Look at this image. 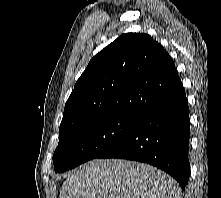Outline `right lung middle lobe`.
Returning a JSON list of instances; mask_svg holds the SVG:
<instances>
[{
    "mask_svg": "<svg viewBox=\"0 0 221 198\" xmlns=\"http://www.w3.org/2000/svg\"><path fill=\"white\" fill-rule=\"evenodd\" d=\"M139 118L133 114H114L59 135L53 155L55 172H64L96 158L128 134Z\"/></svg>",
    "mask_w": 221,
    "mask_h": 198,
    "instance_id": "dd1d6c3e",
    "label": "right lung middle lobe"
}]
</instances>
